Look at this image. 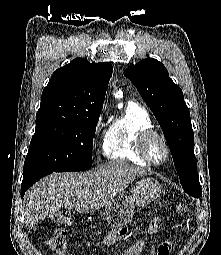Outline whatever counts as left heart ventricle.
<instances>
[{
	"label": "left heart ventricle",
	"mask_w": 221,
	"mask_h": 255,
	"mask_svg": "<svg viewBox=\"0 0 221 255\" xmlns=\"http://www.w3.org/2000/svg\"><path fill=\"white\" fill-rule=\"evenodd\" d=\"M149 152L155 162H162L165 159V150L158 140H153L149 145Z\"/></svg>",
	"instance_id": "left-heart-ventricle-1"
}]
</instances>
